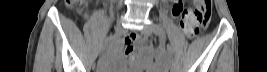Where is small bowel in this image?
<instances>
[{"label": "small bowel", "mask_w": 267, "mask_h": 72, "mask_svg": "<svg viewBox=\"0 0 267 72\" xmlns=\"http://www.w3.org/2000/svg\"><path fill=\"white\" fill-rule=\"evenodd\" d=\"M175 2V1H174ZM174 2L172 5V16L174 18H179L180 21L182 22L183 26H188V25H194L196 23V18L189 13V10H184L182 3L179 1V6H180V11L176 12L173 10L174 7ZM122 42L125 45V53L126 55H132L133 50L135 48V45L139 42H143V40L139 37H137L134 34H129L126 35L123 39ZM155 57L161 58V53L160 52H155Z\"/></svg>", "instance_id": "obj_1"}]
</instances>
